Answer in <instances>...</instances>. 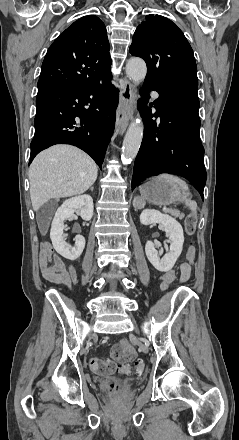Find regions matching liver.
<instances>
[{
	"mask_svg": "<svg viewBox=\"0 0 239 440\" xmlns=\"http://www.w3.org/2000/svg\"><path fill=\"white\" fill-rule=\"evenodd\" d=\"M97 174L92 158L74 146L59 144L40 152L28 174L34 212L51 198L84 194L96 182Z\"/></svg>",
	"mask_w": 239,
	"mask_h": 440,
	"instance_id": "liver-1",
	"label": "liver"
}]
</instances>
